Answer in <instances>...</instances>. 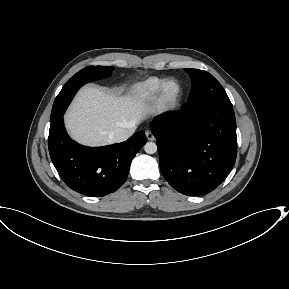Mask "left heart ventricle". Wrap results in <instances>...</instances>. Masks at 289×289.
<instances>
[{
    "label": "left heart ventricle",
    "mask_w": 289,
    "mask_h": 289,
    "mask_svg": "<svg viewBox=\"0 0 289 289\" xmlns=\"http://www.w3.org/2000/svg\"><path fill=\"white\" fill-rule=\"evenodd\" d=\"M176 91V85L174 83L170 84L167 88L168 94H173Z\"/></svg>",
    "instance_id": "b2bd125f"
}]
</instances>
